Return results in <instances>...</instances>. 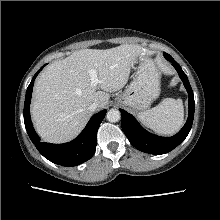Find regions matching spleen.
Wrapping results in <instances>:
<instances>
[{
    "mask_svg": "<svg viewBox=\"0 0 220 220\" xmlns=\"http://www.w3.org/2000/svg\"><path fill=\"white\" fill-rule=\"evenodd\" d=\"M138 119L143 125L159 134H173L184 122L183 102L181 99H163L154 108L139 112Z\"/></svg>",
    "mask_w": 220,
    "mask_h": 220,
    "instance_id": "spleen-1",
    "label": "spleen"
}]
</instances>
